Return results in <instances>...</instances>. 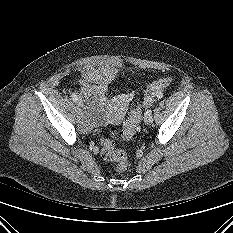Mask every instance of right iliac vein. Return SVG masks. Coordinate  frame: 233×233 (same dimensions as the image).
<instances>
[{"mask_svg":"<svg viewBox=\"0 0 233 233\" xmlns=\"http://www.w3.org/2000/svg\"><path fill=\"white\" fill-rule=\"evenodd\" d=\"M79 107H80V102H79V104H78L77 109H78V113L81 114V113H82V110H81Z\"/></svg>","mask_w":233,"mask_h":233,"instance_id":"right-iliac-vein-1","label":"right iliac vein"}]
</instances>
